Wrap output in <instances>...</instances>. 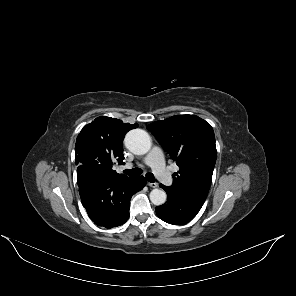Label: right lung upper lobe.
Returning <instances> with one entry per match:
<instances>
[{"label": "right lung upper lobe", "mask_w": 296, "mask_h": 296, "mask_svg": "<svg viewBox=\"0 0 296 296\" xmlns=\"http://www.w3.org/2000/svg\"><path fill=\"white\" fill-rule=\"evenodd\" d=\"M137 127V123L131 125L111 117L96 118L84 126L77 137L76 165L87 169L85 158L92 156L95 162V172L92 173L95 176L107 180L127 178L118 174L112 166L115 162L123 163V138L129 130Z\"/></svg>", "instance_id": "right-lung-upper-lobe-1"}]
</instances>
